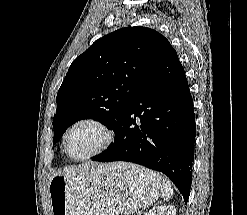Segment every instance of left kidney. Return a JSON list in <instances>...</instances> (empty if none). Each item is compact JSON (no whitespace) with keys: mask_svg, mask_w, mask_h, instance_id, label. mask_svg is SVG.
<instances>
[{"mask_svg":"<svg viewBox=\"0 0 247 215\" xmlns=\"http://www.w3.org/2000/svg\"><path fill=\"white\" fill-rule=\"evenodd\" d=\"M147 215H176V208L172 205L157 206L152 208Z\"/></svg>","mask_w":247,"mask_h":215,"instance_id":"left-kidney-1","label":"left kidney"}]
</instances>
